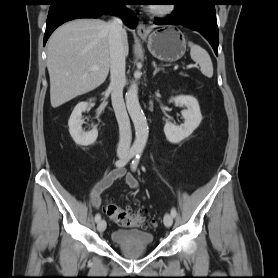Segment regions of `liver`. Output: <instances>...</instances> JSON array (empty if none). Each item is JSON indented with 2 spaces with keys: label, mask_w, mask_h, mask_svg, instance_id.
I'll return each instance as SVG.
<instances>
[{
  "label": "liver",
  "mask_w": 278,
  "mask_h": 278,
  "mask_svg": "<svg viewBox=\"0 0 278 278\" xmlns=\"http://www.w3.org/2000/svg\"><path fill=\"white\" fill-rule=\"evenodd\" d=\"M99 19H77L65 23L47 43L50 101L57 108L73 98L99 87L110 68L109 28ZM128 55L126 30L122 33ZM99 67L92 71L91 66Z\"/></svg>",
  "instance_id": "obj_1"
}]
</instances>
